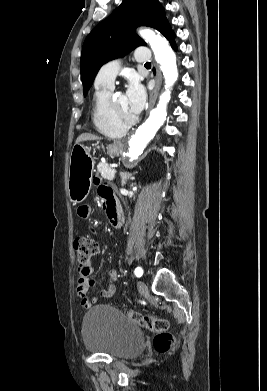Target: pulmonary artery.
<instances>
[{"instance_id":"e3ab8cb5","label":"pulmonary artery","mask_w":267,"mask_h":391,"mask_svg":"<svg viewBox=\"0 0 267 391\" xmlns=\"http://www.w3.org/2000/svg\"><path fill=\"white\" fill-rule=\"evenodd\" d=\"M134 57L137 62L145 63L150 59V51L145 47H139L136 49ZM119 68V59L109 61L108 63L103 65L96 76L95 86L108 87L112 89Z\"/></svg>"}]
</instances>
